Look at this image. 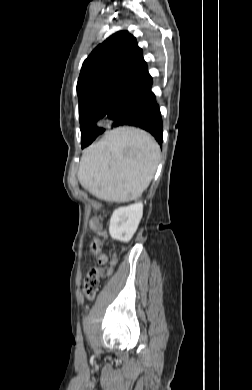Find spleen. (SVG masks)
I'll return each mask as SVG.
<instances>
[{
	"label": "spleen",
	"mask_w": 252,
	"mask_h": 390,
	"mask_svg": "<svg viewBox=\"0 0 252 390\" xmlns=\"http://www.w3.org/2000/svg\"><path fill=\"white\" fill-rule=\"evenodd\" d=\"M160 148L146 132L120 128L88 148L78 179L96 197L109 202L139 198L155 173Z\"/></svg>",
	"instance_id": "spleen-1"
}]
</instances>
